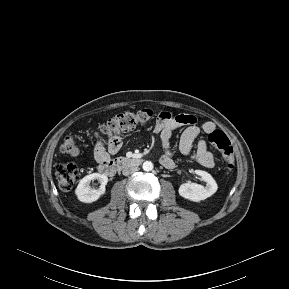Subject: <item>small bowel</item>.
Returning a JSON list of instances; mask_svg holds the SVG:
<instances>
[{
    "label": "small bowel",
    "instance_id": "obj_1",
    "mask_svg": "<svg viewBox=\"0 0 289 289\" xmlns=\"http://www.w3.org/2000/svg\"><path fill=\"white\" fill-rule=\"evenodd\" d=\"M185 127L180 139L178 148L179 151L190 156V158L199 165L212 168L214 166V157L208 151L207 142L204 139H199L196 143V149L193 150L194 142L200 133L210 134L216 130L213 122L207 121L199 125L195 116L189 114H173L163 111L159 114L153 132L158 134L163 148V155L160 158V163L167 169H173L176 165L174 152L171 149V137L173 132ZM122 147L121 136L115 135L108 139L106 143L98 142L94 147V157L98 163L108 160L110 155L116 154Z\"/></svg>",
    "mask_w": 289,
    "mask_h": 289
}]
</instances>
